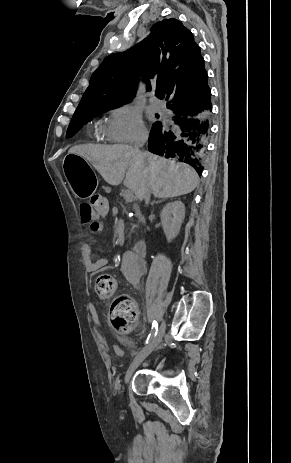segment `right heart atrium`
I'll return each instance as SVG.
<instances>
[{
	"label": "right heart atrium",
	"instance_id": "d8ad5b80",
	"mask_svg": "<svg viewBox=\"0 0 291 463\" xmlns=\"http://www.w3.org/2000/svg\"><path fill=\"white\" fill-rule=\"evenodd\" d=\"M102 135L111 142L134 144L146 138L147 130L138 108L127 103L111 110Z\"/></svg>",
	"mask_w": 291,
	"mask_h": 463
}]
</instances>
